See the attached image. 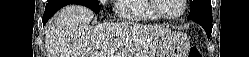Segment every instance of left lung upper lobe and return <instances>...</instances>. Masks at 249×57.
Returning <instances> with one entry per match:
<instances>
[{"mask_svg":"<svg viewBox=\"0 0 249 57\" xmlns=\"http://www.w3.org/2000/svg\"><path fill=\"white\" fill-rule=\"evenodd\" d=\"M188 20L208 19L212 20V6L210 0H190V13Z\"/></svg>","mask_w":249,"mask_h":57,"instance_id":"obj_1","label":"left lung upper lobe"}]
</instances>
